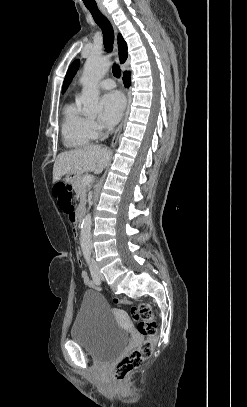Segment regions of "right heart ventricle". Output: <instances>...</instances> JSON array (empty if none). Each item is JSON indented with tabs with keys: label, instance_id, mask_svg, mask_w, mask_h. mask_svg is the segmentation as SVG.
<instances>
[{
	"label": "right heart ventricle",
	"instance_id": "obj_1",
	"mask_svg": "<svg viewBox=\"0 0 247 407\" xmlns=\"http://www.w3.org/2000/svg\"><path fill=\"white\" fill-rule=\"evenodd\" d=\"M61 133L68 148L85 147L96 137L91 128V120L84 116L74 103L65 105L63 109Z\"/></svg>",
	"mask_w": 247,
	"mask_h": 407
}]
</instances>
